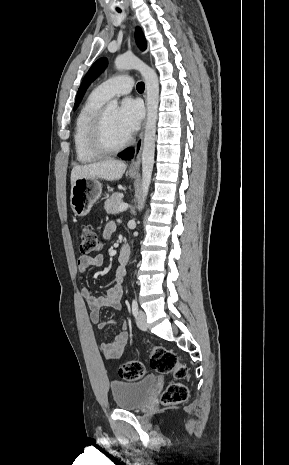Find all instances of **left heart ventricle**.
Returning <instances> with one entry per match:
<instances>
[{
	"mask_svg": "<svg viewBox=\"0 0 289 465\" xmlns=\"http://www.w3.org/2000/svg\"><path fill=\"white\" fill-rule=\"evenodd\" d=\"M106 134L111 144H119L127 139L118 123L117 108L112 106H109L107 110Z\"/></svg>",
	"mask_w": 289,
	"mask_h": 465,
	"instance_id": "obj_1",
	"label": "left heart ventricle"
}]
</instances>
